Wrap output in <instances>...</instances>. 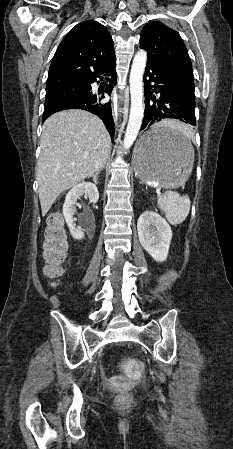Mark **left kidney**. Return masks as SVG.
Here are the masks:
<instances>
[{"instance_id": "5707ae66", "label": "left kidney", "mask_w": 233, "mask_h": 449, "mask_svg": "<svg viewBox=\"0 0 233 449\" xmlns=\"http://www.w3.org/2000/svg\"><path fill=\"white\" fill-rule=\"evenodd\" d=\"M138 237L143 248L158 262L167 259L172 231L170 225L159 214L145 211L137 221Z\"/></svg>"}]
</instances>
